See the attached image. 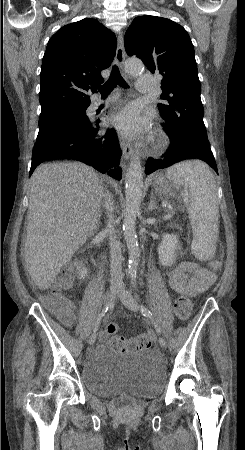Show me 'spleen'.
<instances>
[{"mask_svg": "<svg viewBox=\"0 0 245 450\" xmlns=\"http://www.w3.org/2000/svg\"><path fill=\"white\" fill-rule=\"evenodd\" d=\"M166 177L174 185L184 186V196L189 198L192 253L199 260H209L215 254L219 233L217 187L211 170L201 161H185L170 167Z\"/></svg>", "mask_w": 245, "mask_h": 450, "instance_id": "obj_1", "label": "spleen"}]
</instances>
